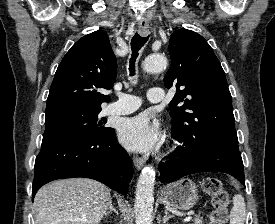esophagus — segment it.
Returning <instances> with one entry per match:
<instances>
[{"label":"esophagus","mask_w":275,"mask_h":224,"mask_svg":"<svg viewBox=\"0 0 275 224\" xmlns=\"http://www.w3.org/2000/svg\"><path fill=\"white\" fill-rule=\"evenodd\" d=\"M138 31H139V34L141 36H143V37L148 36L149 26H148L147 21L142 20V21L139 22ZM133 162H134V165L137 169H141L145 164V159L138 156V155H134L133 156Z\"/></svg>","instance_id":"34e87169"}]
</instances>
